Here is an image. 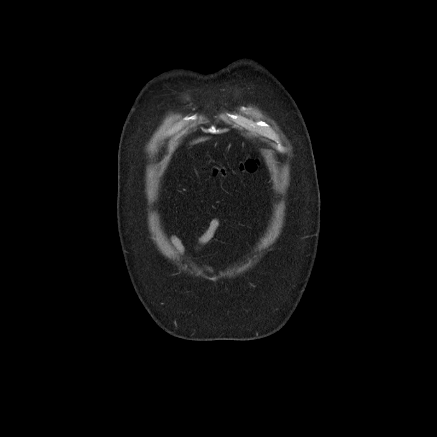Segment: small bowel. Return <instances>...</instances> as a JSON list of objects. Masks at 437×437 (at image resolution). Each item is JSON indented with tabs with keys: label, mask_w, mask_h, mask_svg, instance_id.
Instances as JSON below:
<instances>
[{
	"label": "small bowel",
	"mask_w": 437,
	"mask_h": 437,
	"mask_svg": "<svg viewBox=\"0 0 437 437\" xmlns=\"http://www.w3.org/2000/svg\"><path fill=\"white\" fill-rule=\"evenodd\" d=\"M219 226H220V218H218V217L213 218L210 221L206 231L199 238L195 249L200 250L202 246L207 244L213 238V236L215 235ZM170 240H171V243H172L176 253L179 255H182L185 251V247H184L182 241L175 235H172ZM205 269L207 271H210V269L208 267H205Z\"/></svg>",
	"instance_id": "obj_1"
}]
</instances>
